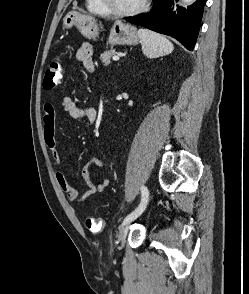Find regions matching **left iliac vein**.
<instances>
[{"instance_id": "4c4485c4", "label": "left iliac vein", "mask_w": 249, "mask_h": 294, "mask_svg": "<svg viewBox=\"0 0 249 294\" xmlns=\"http://www.w3.org/2000/svg\"><path fill=\"white\" fill-rule=\"evenodd\" d=\"M129 231V224H123L120 229H119V235H118V240L120 242V246L122 247L124 245L125 239L127 237Z\"/></svg>"}]
</instances>
